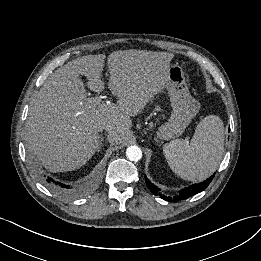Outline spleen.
<instances>
[{"mask_svg":"<svg viewBox=\"0 0 261 261\" xmlns=\"http://www.w3.org/2000/svg\"><path fill=\"white\" fill-rule=\"evenodd\" d=\"M172 171L184 180L203 181L219 166L224 153V125L216 115L197 125L190 144L176 139L163 147Z\"/></svg>","mask_w":261,"mask_h":261,"instance_id":"obj_1","label":"spleen"}]
</instances>
